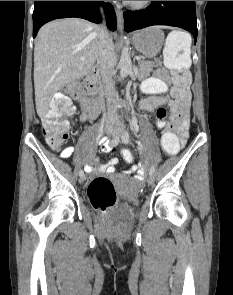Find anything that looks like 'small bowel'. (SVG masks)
Returning a JSON list of instances; mask_svg holds the SVG:
<instances>
[{
    "label": "small bowel",
    "mask_w": 233,
    "mask_h": 295,
    "mask_svg": "<svg viewBox=\"0 0 233 295\" xmlns=\"http://www.w3.org/2000/svg\"><path fill=\"white\" fill-rule=\"evenodd\" d=\"M142 91L151 95L149 98L141 102V108L145 111H155L156 124L159 129L171 128L175 131L180 139L181 145L186 143L189 128V112L191 94L189 91L175 95L173 89L170 88L169 79L163 69H158L154 76L145 80L142 84ZM82 115L81 120L87 121L90 119V113L84 109L81 101ZM169 111V121L166 120L167 112ZM101 145L106 144V139H102ZM107 149L112 150L107 144ZM75 151L73 146H69L60 151L62 158H69ZM118 159L111 158L107 163L101 164L95 156H91L89 164L85 169L87 172L98 171L100 173L115 174ZM146 172V167L139 163L136 171V179L143 180Z\"/></svg>",
    "instance_id": "obj_1"
}]
</instances>
